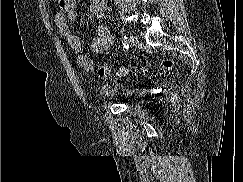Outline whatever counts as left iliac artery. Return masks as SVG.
Returning a JSON list of instances; mask_svg holds the SVG:
<instances>
[{"instance_id":"44dca946","label":"left iliac artery","mask_w":243,"mask_h":182,"mask_svg":"<svg viewBox=\"0 0 243 182\" xmlns=\"http://www.w3.org/2000/svg\"><path fill=\"white\" fill-rule=\"evenodd\" d=\"M122 44H123L124 49H128L129 42H128V37L127 36H123L122 37Z\"/></svg>"}]
</instances>
